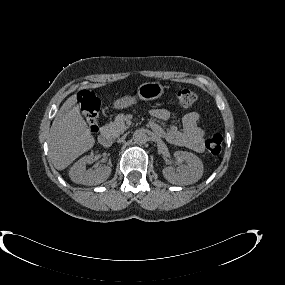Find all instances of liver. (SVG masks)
Here are the masks:
<instances>
[{
	"mask_svg": "<svg viewBox=\"0 0 285 285\" xmlns=\"http://www.w3.org/2000/svg\"><path fill=\"white\" fill-rule=\"evenodd\" d=\"M49 154L54 167L63 170L95 143L80 114L76 95L57 112L49 133Z\"/></svg>",
	"mask_w": 285,
	"mask_h": 285,
	"instance_id": "liver-1",
	"label": "liver"
}]
</instances>
